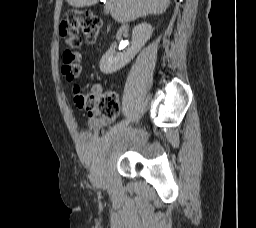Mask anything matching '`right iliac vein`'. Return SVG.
<instances>
[{"mask_svg": "<svg viewBox=\"0 0 256 228\" xmlns=\"http://www.w3.org/2000/svg\"><path fill=\"white\" fill-rule=\"evenodd\" d=\"M120 130H121V131H126V130H127V127H126V126H121V127H120ZM120 130H117V133H120Z\"/></svg>", "mask_w": 256, "mask_h": 228, "instance_id": "63e3f726", "label": "right iliac vein"}]
</instances>
